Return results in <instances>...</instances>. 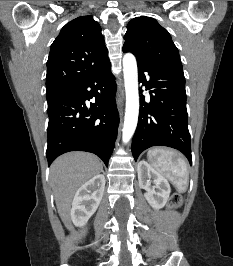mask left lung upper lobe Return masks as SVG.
<instances>
[{"label":"left lung upper lobe","instance_id":"5c2ea615","mask_svg":"<svg viewBox=\"0 0 233 266\" xmlns=\"http://www.w3.org/2000/svg\"><path fill=\"white\" fill-rule=\"evenodd\" d=\"M123 52H132L137 62L152 67L182 69L178 49L170 34L150 17L140 16L127 25Z\"/></svg>","mask_w":233,"mask_h":266}]
</instances>
